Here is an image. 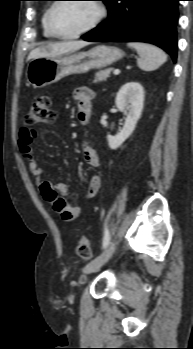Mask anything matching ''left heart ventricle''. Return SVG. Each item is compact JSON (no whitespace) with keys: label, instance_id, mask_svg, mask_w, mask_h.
I'll list each match as a JSON object with an SVG mask.
<instances>
[{"label":"left heart ventricle","instance_id":"b2bd125f","mask_svg":"<svg viewBox=\"0 0 193 349\" xmlns=\"http://www.w3.org/2000/svg\"><path fill=\"white\" fill-rule=\"evenodd\" d=\"M98 14L93 2H66L57 6L52 22L61 34H73L89 26Z\"/></svg>","mask_w":193,"mask_h":349}]
</instances>
